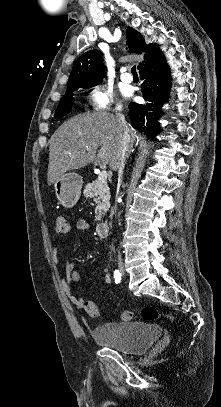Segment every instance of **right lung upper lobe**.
I'll return each instance as SVG.
<instances>
[{
  "mask_svg": "<svg viewBox=\"0 0 221 407\" xmlns=\"http://www.w3.org/2000/svg\"><path fill=\"white\" fill-rule=\"evenodd\" d=\"M127 44L131 53H142L146 51L144 55L145 59H150L159 50V47L155 44H145L142 36L131 27L127 30ZM102 56V52L97 50H90L80 56L73 65L67 91L89 88L100 84L105 77ZM142 65L143 63L138 65V69L141 68Z\"/></svg>",
  "mask_w": 221,
  "mask_h": 407,
  "instance_id": "1",
  "label": "right lung upper lobe"
}]
</instances>
